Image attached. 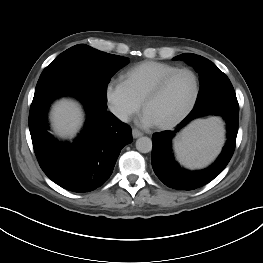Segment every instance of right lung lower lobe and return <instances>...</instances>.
<instances>
[{
  "label": "right lung lower lobe",
  "instance_id": "obj_1",
  "mask_svg": "<svg viewBox=\"0 0 263 263\" xmlns=\"http://www.w3.org/2000/svg\"><path fill=\"white\" fill-rule=\"evenodd\" d=\"M64 95L79 99L87 119L73 143L60 142L47 131V111L53 100ZM29 129L34 151L44 173L59 186L73 192L100 187L113 171L121 149L132 142L130 127L119 121L107 106L88 92L66 89L33 99Z\"/></svg>",
  "mask_w": 263,
  "mask_h": 263
}]
</instances>
